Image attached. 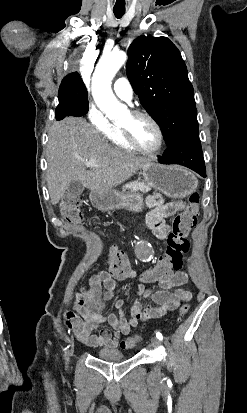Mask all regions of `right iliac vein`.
Here are the masks:
<instances>
[{"label": "right iliac vein", "instance_id": "right-iliac-vein-1", "mask_svg": "<svg viewBox=\"0 0 247 413\" xmlns=\"http://www.w3.org/2000/svg\"><path fill=\"white\" fill-rule=\"evenodd\" d=\"M69 358H70L69 353H66V354H65L66 363L68 362Z\"/></svg>", "mask_w": 247, "mask_h": 413}]
</instances>
